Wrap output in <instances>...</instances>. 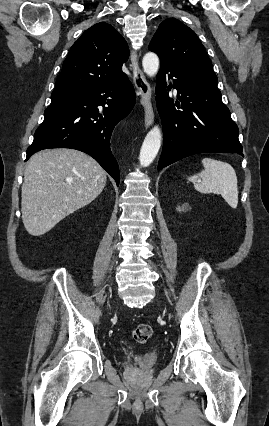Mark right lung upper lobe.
Wrapping results in <instances>:
<instances>
[{"mask_svg":"<svg viewBox=\"0 0 269 426\" xmlns=\"http://www.w3.org/2000/svg\"><path fill=\"white\" fill-rule=\"evenodd\" d=\"M128 57L124 38L113 26L99 22L70 48L53 92H77L116 82L126 76L121 68Z\"/></svg>","mask_w":269,"mask_h":426,"instance_id":"1","label":"right lung upper lobe"}]
</instances>
